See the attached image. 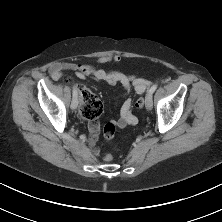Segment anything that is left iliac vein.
I'll list each match as a JSON object with an SVG mask.
<instances>
[{"mask_svg":"<svg viewBox=\"0 0 222 222\" xmlns=\"http://www.w3.org/2000/svg\"><path fill=\"white\" fill-rule=\"evenodd\" d=\"M145 106L147 110H151L153 106L152 93L149 91L145 96Z\"/></svg>","mask_w":222,"mask_h":222,"instance_id":"obj_1","label":"left iliac vein"}]
</instances>
